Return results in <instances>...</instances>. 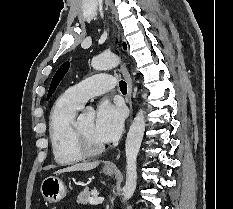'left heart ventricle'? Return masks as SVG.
<instances>
[{"mask_svg":"<svg viewBox=\"0 0 233 209\" xmlns=\"http://www.w3.org/2000/svg\"><path fill=\"white\" fill-rule=\"evenodd\" d=\"M78 126L84 135V137L87 139V141L93 145V146H98L101 145L102 143L98 141L93 134L94 130V119L93 118H88L85 120H82L78 122Z\"/></svg>","mask_w":233,"mask_h":209,"instance_id":"1","label":"left heart ventricle"}]
</instances>
